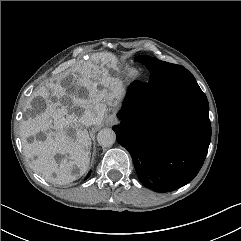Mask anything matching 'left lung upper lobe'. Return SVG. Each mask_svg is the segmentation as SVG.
I'll list each match as a JSON object with an SVG mask.
<instances>
[{"label": "left lung upper lobe", "instance_id": "obj_1", "mask_svg": "<svg viewBox=\"0 0 241 241\" xmlns=\"http://www.w3.org/2000/svg\"><path fill=\"white\" fill-rule=\"evenodd\" d=\"M137 62L145 64L148 70L165 76L171 94H178L188 88L198 86L194 76L184 67L167 63L149 56H137Z\"/></svg>", "mask_w": 241, "mask_h": 241}]
</instances>
